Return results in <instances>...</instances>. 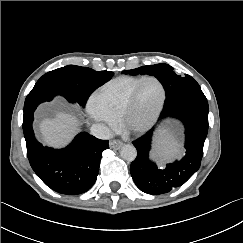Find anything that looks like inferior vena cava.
Returning a JSON list of instances; mask_svg holds the SVG:
<instances>
[{"label":"inferior vena cava","mask_w":243,"mask_h":243,"mask_svg":"<svg viewBox=\"0 0 243 243\" xmlns=\"http://www.w3.org/2000/svg\"><path fill=\"white\" fill-rule=\"evenodd\" d=\"M91 134L99 139H110L112 137L111 130L101 123L93 124L91 126Z\"/></svg>","instance_id":"inferior-vena-cava-1"}]
</instances>
